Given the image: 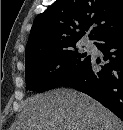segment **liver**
<instances>
[{"label": "liver", "instance_id": "6515ba94", "mask_svg": "<svg viewBox=\"0 0 123 130\" xmlns=\"http://www.w3.org/2000/svg\"><path fill=\"white\" fill-rule=\"evenodd\" d=\"M12 130H122L111 111L86 94L58 88L22 102Z\"/></svg>", "mask_w": 123, "mask_h": 130}]
</instances>
